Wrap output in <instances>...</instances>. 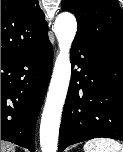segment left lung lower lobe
<instances>
[{
	"mask_svg": "<svg viewBox=\"0 0 123 152\" xmlns=\"http://www.w3.org/2000/svg\"><path fill=\"white\" fill-rule=\"evenodd\" d=\"M71 66L59 152L98 137L123 141V56L75 38Z\"/></svg>",
	"mask_w": 123,
	"mask_h": 152,
	"instance_id": "obj_1",
	"label": "left lung lower lobe"
}]
</instances>
